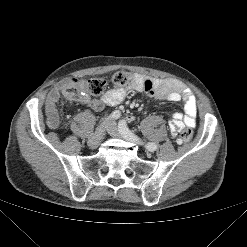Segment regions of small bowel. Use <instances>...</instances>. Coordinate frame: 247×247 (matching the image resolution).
Segmentation results:
<instances>
[{
  "instance_id": "c3829d8e",
  "label": "small bowel",
  "mask_w": 247,
  "mask_h": 247,
  "mask_svg": "<svg viewBox=\"0 0 247 247\" xmlns=\"http://www.w3.org/2000/svg\"><path fill=\"white\" fill-rule=\"evenodd\" d=\"M138 82L134 88L138 91L146 93L149 97L157 100H168L172 102L182 100L184 102V113L176 111L172 114L169 122V129L173 136H176L185 127L194 128L196 125L197 101L194 94L181 83L172 79H156L143 76L137 77ZM72 81H66L63 84L51 90L46 99L45 113L47 125L56 128L61 120L57 110V103L60 94L66 88L73 86ZM79 82L78 85H81ZM127 90L117 87L107 91L101 98L93 99L87 94H83L76 101L88 105L90 108L100 111L105 106H115L122 102L125 98ZM130 120V118H128Z\"/></svg>"
}]
</instances>
